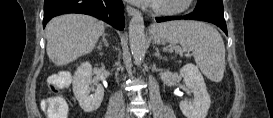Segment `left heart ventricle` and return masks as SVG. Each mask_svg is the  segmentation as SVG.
Listing matches in <instances>:
<instances>
[{
  "label": "left heart ventricle",
  "mask_w": 273,
  "mask_h": 118,
  "mask_svg": "<svg viewBox=\"0 0 273 118\" xmlns=\"http://www.w3.org/2000/svg\"><path fill=\"white\" fill-rule=\"evenodd\" d=\"M180 0H163L160 1V3L167 4V5H174L179 3Z\"/></svg>",
  "instance_id": "left-heart-ventricle-1"
}]
</instances>
